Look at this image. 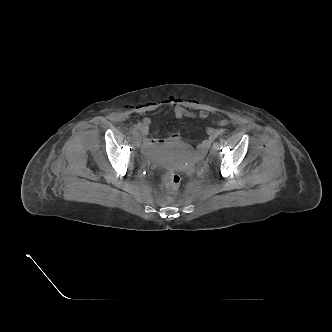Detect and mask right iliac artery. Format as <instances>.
I'll return each instance as SVG.
<instances>
[{
	"mask_svg": "<svg viewBox=\"0 0 332 332\" xmlns=\"http://www.w3.org/2000/svg\"><path fill=\"white\" fill-rule=\"evenodd\" d=\"M130 132L134 135L138 134V130L136 128H130Z\"/></svg>",
	"mask_w": 332,
	"mask_h": 332,
	"instance_id": "1",
	"label": "right iliac artery"
}]
</instances>
